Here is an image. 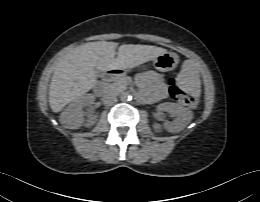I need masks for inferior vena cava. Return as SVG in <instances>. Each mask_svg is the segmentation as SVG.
<instances>
[{"label":"inferior vena cava","instance_id":"1","mask_svg":"<svg viewBox=\"0 0 260 202\" xmlns=\"http://www.w3.org/2000/svg\"><path fill=\"white\" fill-rule=\"evenodd\" d=\"M117 97L113 94H108V95H105L103 98H102V101L105 105H113L117 102Z\"/></svg>","mask_w":260,"mask_h":202}]
</instances>
